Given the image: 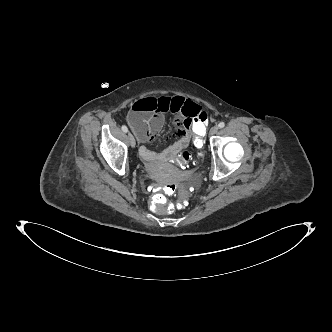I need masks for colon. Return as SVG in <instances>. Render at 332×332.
<instances>
[{"mask_svg":"<svg viewBox=\"0 0 332 332\" xmlns=\"http://www.w3.org/2000/svg\"><path fill=\"white\" fill-rule=\"evenodd\" d=\"M208 127L207 114L202 112L198 119L194 123V128L192 130L193 144L196 148L195 153L192 155L188 151H181L179 154H176L170 158V165L177 169H192L197 170L200 168L204 159L208 157L209 150L205 147L206 144V132L205 130ZM181 183L171 182L164 186L163 190L167 194L173 193ZM151 206L157 212L171 213L174 211L173 204H168L166 198L163 194H155L150 200ZM188 200L185 198L183 201L177 204L178 208H184L187 206Z\"/></svg>","mask_w":332,"mask_h":332,"instance_id":"colon-1","label":"colon"}]
</instances>
